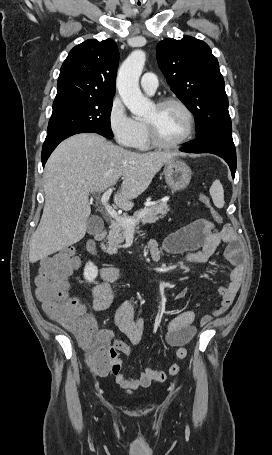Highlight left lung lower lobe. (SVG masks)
<instances>
[{
	"instance_id": "1",
	"label": "left lung lower lobe",
	"mask_w": 272,
	"mask_h": 455,
	"mask_svg": "<svg viewBox=\"0 0 272 455\" xmlns=\"http://www.w3.org/2000/svg\"><path fill=\"white\" fill-rule=\"evenodd\" d=\"M180 151L187 153H212L222 157L230 167L232 177L236 171V150L232 139V126L216 127L189 142Z\"/></svg>"
}]
</instances>
